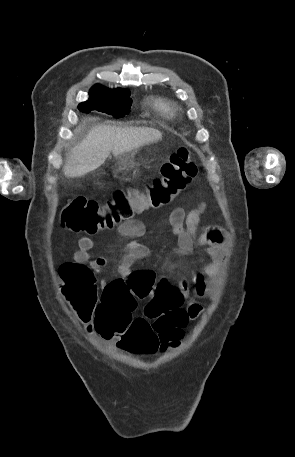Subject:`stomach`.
Here are the masks:
<instances>
[{
    "label": "stomach",
    "instance_id": "stomach-1",
    "mask_svg": "<svg viewBox=\"0 0 295 457\" xmlns=\"http://www.w3.org/2000/svg\"><path fill=\"white\" fill-rule=\"evenodd\" d=\"M132 157H133V155H132L131 153H126V154H124V155H121V156H120V159H122V160H128V159H130V158H132ZM120 169H121V170L126 169V165H125V164H121V165H120ZM112 173L114 174V176H116V171H113Z\"/></svg>",
    "mask_w": 295,
    "mask_h": 457
}]
</instances>
